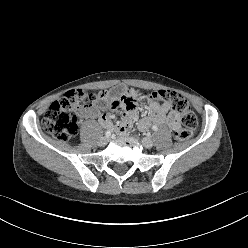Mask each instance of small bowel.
I'll return each instance as SVG.
<instances>
[{"instance_id": "1", "label": "small bowel", "mask_w": 248, "mask_h": 248, "mask_svg": "<svg viewBox=\"0 0 248 248\" xmlns=\"http://www.w3.org/2000/svg\"><path fill=\"white\" fill-rule=\"evenodd\" d=\"M137 96L134 90H128L124 83H119L112 88L110 93L99 99L95 105L82 111L81 115L88 118H99L100 124L108 129L115 128L111 116L109 114H101L102 110L110 107L115 113L123 114V121L117 126L119 132H124L130 125L132 120L137 118ZM153 123L167 124L173 131L181 129L180 116L171 111L167 103H152L150 106V116L141 118L138 121V127L141 130H147Z\"/></svg>"}]
</instances>
